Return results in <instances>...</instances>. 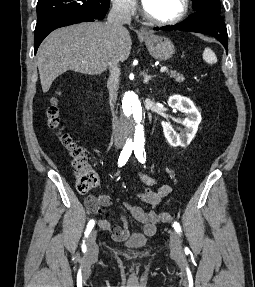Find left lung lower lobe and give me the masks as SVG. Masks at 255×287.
Returning a JSON list of instances; mask_svg holds the SVG:
<instances>
[{
	"label": "left lung lower lobe",
	"mask_w": 255,
	"mask_h": 287,
	"mask_svg": "<svg viewBox=\"0 0 255 287\" xmlns=\"http://www.w3.org/2000/svg\"><path fill=\"white\" fill-rule=\"evenodd\" d=\"M155 30H180L208 34L218 39L228 51L226 25L220 14L207 10H198L186 20L174 26L154 28Z\"/></svg>",
	"instance_id": "obj_1"
}]
</instances>
